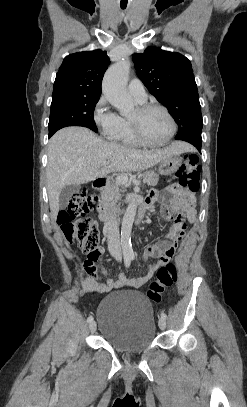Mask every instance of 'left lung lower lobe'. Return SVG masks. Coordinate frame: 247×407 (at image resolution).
I'll use <instances>...</instances> for the list:
<instances>
[{"instance_id":"left-lung-lower-lobe-1","label":"left lung lower lobe","mask_w":247,"mask_h":407,"mask_svg":"<svg viewBox=\"0 0 247 407\" xmlns=\"http://www.w3.org/2000/svg\"><path fill=\"white\" fill-rule=\"evenodd\" d=\"M176 140H183L194 145L201 153L202 137L201 132L186 133L175 137Z\"/></svg>"}]
</instances>
